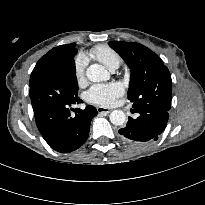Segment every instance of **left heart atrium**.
I'll return each mask as SVG.
<instances>
[{"label":"left heart atrium","mask_w":205,"mask_h":205,"mask_svg":"<svg viewBox=\"0 0 205 205\" xmlns=\"http://www.w3.org/2000/svg\"><path fill=\"white\" fill-rule=\"evenodd\" d=\"M123 94V88L118 83L95 84L85 94L88 102L102 106H113Z\"/></svg>","instance_id":"39dd6f15"}]
</instances>
